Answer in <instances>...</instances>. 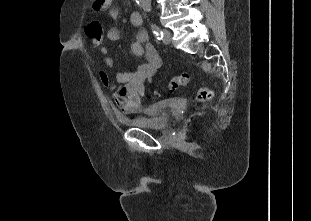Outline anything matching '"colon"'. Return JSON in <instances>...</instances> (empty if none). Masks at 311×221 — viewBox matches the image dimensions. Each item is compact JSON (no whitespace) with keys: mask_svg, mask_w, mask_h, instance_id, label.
<instances>
[{"mask_svg":"<svg viewBox=\"0 0 311 221\" xmlns=\"http://www.w3.org/2000/svg\"><path fill=\"white\" fill-rule=\"evenodd\" d=\"M88 36L91 40L93 48H99L103 40V27L98 20H93L88 23ZM189 74L183 72L174 76L167 84L166 90L169 92L175 91L180 87H185L189 84ZM213 97V91L204 86L200 87L198 90L197 99L199 102H205Z\"/></svg>","mask_w":311,"mask_h":221,"instance_id":"5ec220e1","label":"colon"}]
</instances>
